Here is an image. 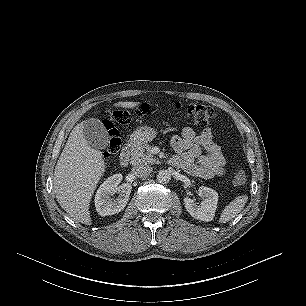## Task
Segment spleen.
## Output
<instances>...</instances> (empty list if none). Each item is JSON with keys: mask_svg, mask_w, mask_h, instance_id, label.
<instances>
[{"mask_svg": "<svg viewBox=\"0 0 306 306\" xmlns=\"http://www.w3.org/2000/svg\"><path fill=\"white\" fill-rule=\"evenodd\" d=\"M247 200L248 196L246 195L235 197L222 211L219 222L226 223L235 218L243 210Z\"/></svg>", "mask_w": 306, "mask_h": 306, "instance_id": "1", "label": "spleen"}]
</instances>
